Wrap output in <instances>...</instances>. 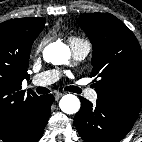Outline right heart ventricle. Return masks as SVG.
Instances as JSON below:
<instances>
[{"label":"right heart ventricle","mask_w":142,"mask_h":142,"mask_svg":"<svg viewBox=\"0 0 142 142\" xmlns=\"http://www.w3.org/2000/svg\"><path fill=\"white\" fill-rule=\"evenodd\" d=\"M69 41H70V44H73V43H88L86 40L81 39L79 37H74V36L70 37Z\"/></svg>","instance_id":"e07e8e85"}]
</instances>
